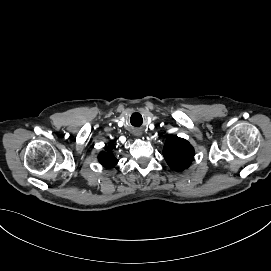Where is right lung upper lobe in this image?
I'll return each mask as SVG.
<instances>
[{
    "label": "right lung upper lobe",
    "mask_w": 271,
    "mask_h": 271,
    "mask_svg": "<svg viewBox=\"0 0 271 271\" xmlns=\"http://www.w3.org/2000/svg\"><path fill=\"white\" fill-rule=\"evenodd\" d=\"M114 148L115 145L111 142L106 148V151H102L98 155L99 162L106 168H113L118 163V160L111 152Z\"/></svg>",
    "instance_id": "cb5924a9"
}]
</instances>
